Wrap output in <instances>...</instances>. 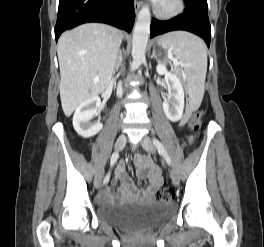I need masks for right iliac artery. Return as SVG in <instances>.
<instances>
[{"mask_svg":"<svg viewBox=\"0 0 264 247\" xmlns=\"http://www.w3.org/2000/svg\"><path fill=\"white\" fill-rule=\"evenodd\" d=\"M119 155L117 152L113 153L112 156H111V160H110V165L111 167L114 166V164L117 162V159H118ZM110 180V172L105 176L104 178V184H107Z\"/></svg>","mask_w":264,"mask_h":247,"instance_id":"1","label":"right iliac artery"}]
</instances>
